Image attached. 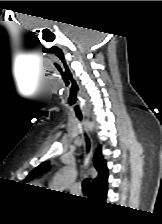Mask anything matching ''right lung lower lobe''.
Returning a JSON list of instances; mask_svg holds the SVG:
<instances>
[{
    "label": "right lung lower lobe",
    "mask_w": 162,
    "mask_h": 224,
    "mask_svg": "<svg viewBox=\"0 0 162 224\" xmlns=\"http://www.w3.org/2000/svg\"><path fill=\"white\" fill-rule=\"evenodd\" d=\"M106 195H107V190L105 192L101 193L100 195H98L96 198H98L101 201H105Z\"/></svg>",
    "instance_id": "1"
}]
</instances>
